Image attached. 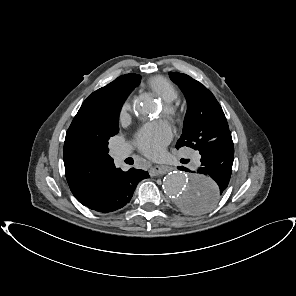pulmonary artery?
<instances>
[{
  "label": "pulmonary artery",
  "mask_w": 296,
  "mask_h": 296,
  "mask_svg": "<svg viewBox=\"0 0 296 296\" xmlns=\"http://www.w3.org/2000/svg\"><path fill=\"white\" fill-rule=\"evenodd\" d=\"M130 153V148L127 145L120 146L114 150V158L116 162H121ZM194 162L198 163L200 161V155L193 156Z\"/></svg>",
  "instance_id": "1"
}]
</instances>
